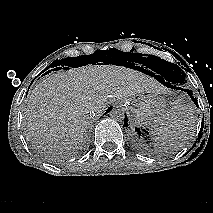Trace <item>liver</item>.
Returning <instances> with one entry per match:
<instances>
[{
  "instance_id": "6515ba94",
  "label": "liver",
  "mask_w": 213,
  "mask_h": 213,
  "mask_svg": "<svg viewBox=\"0 0 213 213\" xmlns=\"http://www.w3.org/2000/svg\"><path fill=\"white\" fill-rule=\"evenodd\" d=\"M163 90L151 76L123 66L87 65L53 73L28 93L27 138L48 155H69L81 146L90 112L102 114L116 100Z\"/></svg>"
}]
</instances>
